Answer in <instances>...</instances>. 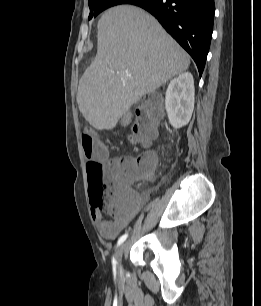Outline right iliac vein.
Listing matches in <instances>:
<instances>
[{
    "label": "right iliac vein",
    "mask_w": 261,
    "mask_h": 306,
    "mask_svg": "<svg viewBox=\"0 0 261 306\" xmlns=\"http://www.w3.org/2000/svg\"><path fill=\"white\" fill-rule=\"evenodd\" d=\"M126 245L127 243H123L117 250V253H116V259L118 262H121V259H122V256H123V253H124V250L126 248Z\"/></svg>",
    "instance_id": "right-iliac-vein-1"
}]
</instances>
